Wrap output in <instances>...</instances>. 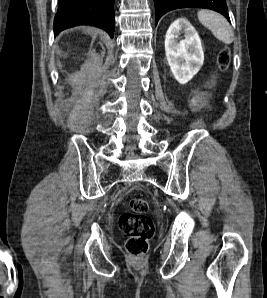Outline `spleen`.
Here are the masks:
<instances>
[{"instance_id":"obj_1","label":"spleen","mask_w":267,"mask_h":298,"mask_svg":"<svg viewBox=\"0 0 267 298\" xmlns=\"http://www.w3.org/2000/svg\"><path fill=\"white\" fill-rule=\"evenodd\" d=\"M197 16L200 23L209 29L218 40L225 44L233 42V30L229 22L221 14L209 10H200Z\"/></svg>"}]
</instances>
